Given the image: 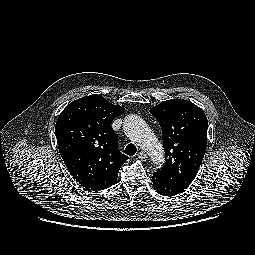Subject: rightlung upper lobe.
Here are the masks:
<instances>
[{"label":"right lung upper lobe","mask_w":255,"mask_h":255,"mask_svg":"<svg viewBox=\"0 0 255 255\" xmlns=\"http://www.w3.org/2000/svg\"><path fill=\"white\" fill-rule=\"evenodd\" d=\"M123 111L101 95H90L71 102L57 119L55 133L61 157L86 189L111 187L128 159L119 151L111 126Z\"/></svg>","instance_id":"cb5924a9"}]
</instances>
